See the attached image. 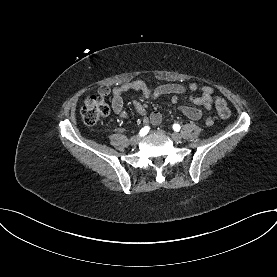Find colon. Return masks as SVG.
<instances>
[{"instance_id":"5ec220e1","label":"colon","mask_w":277,"mask_h":277,"mask_svg":"<svg viewBox=\"0 0 277 277\" xmlns=\"http://www.w3.org/2000/svg\"><path fill=\"white\" fill-rule=\"evenodd\" d=\"M215 106L218 115L221 118H227L230 115V109L227 102L221 98L216 97ZM109 114V107L105 101V97L98 94L89 96L82 107L81 116L85 124L94 125L100 119Z\"/></svg>"}]
</instances>
